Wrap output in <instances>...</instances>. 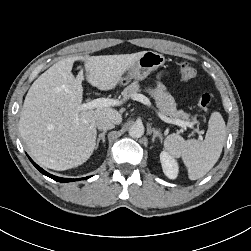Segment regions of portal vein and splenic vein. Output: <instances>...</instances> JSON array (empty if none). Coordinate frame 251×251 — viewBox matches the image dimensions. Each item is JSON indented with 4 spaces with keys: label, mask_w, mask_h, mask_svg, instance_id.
Masks as SVG:
<instances>
[{
    "label": "portal vein and splenic vein",
    "mask_w": 251,
    "mask_h": 251,
    "mask_svg": "<svg viewBox=\"0 0 251 251\" xmlns=\"http://www.w3.org/2000/svg\"><path fill=\"white\" fill-rule=\"evenodd\" d=\"M132 98L136 101H139L143 103L144 105H147L148 107L152 108L157 116L164 122L178 125L182 127V130H186V127H192V124L180 119H173L165 116L160 111H158L151 103V101L142 94H135L132 96ZM122 104V101L116 100V99H110V98H97L94 100H91L88 103H84L81 106H79L80 110H87V109H94V108H103V107H110V106H118Z\"/></svg>",
    "instance_id": "portal-vein-and-splenic-vein-1"
}]
</instances>
